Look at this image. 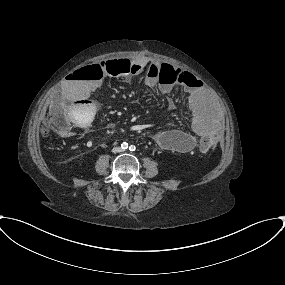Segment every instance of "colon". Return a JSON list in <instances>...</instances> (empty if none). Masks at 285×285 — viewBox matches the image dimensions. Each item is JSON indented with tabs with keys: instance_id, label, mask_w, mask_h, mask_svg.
Returning <instances> with one entry per match:
<instances>
[{
	"instance_id": "5ec220e1",
	"label": "colon",
	"mask_w": 285,
	"mask_h": 285,
	"mask_svg": "<svg viewBox=\"0 0 285 285\" xmlns=\"http://www.w3.org/2000/svg\"><path fill=\"white\" fill-rule=\"evenodd\" d=\"M137 72L138 67L130 60L119 59L104 61L85 67L78 71L75 76L80 81L100 79L105 75L129 79ZM150 75L155 76L156 79L163 85L176 86L182 84L183 82V72L174 67L161 68V66H157L151 69ZM70 111L71 112L69 113L67 106L59 101L52 103L46 117L41 122L43 132H67L70 129L69 115L77 118L78 125L81 127H88L92 123L93 108H91L90 115L86 119L80 117L73 108ZM216 146L217 139L215 136L207 134L202 137L200 144V149L202 151H211Z\"/></svg>"
}]
</instances>
